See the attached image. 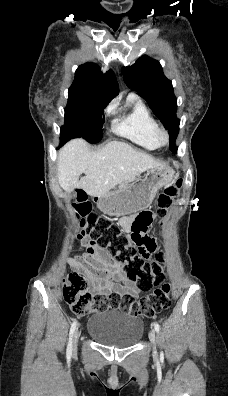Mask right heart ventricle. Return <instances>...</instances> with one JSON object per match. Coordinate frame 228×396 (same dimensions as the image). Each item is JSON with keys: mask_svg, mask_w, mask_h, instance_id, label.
<instances>
[{"mask_svg": "<svg viewBox=\"0 0 228 396\" xmlns=\"http://www.w3.org/2000/svg\"><path fill=\"white\" fill-rule=\"evenodd\" d=\"M128 112L114 124L113 130L120 136L148 150L158 146L154 140V131L158 123L147 106L134 95L127 98Z\"/></svg>", "mask_w": 228, "mask_h": 396, "instance_id": "e07e8e85", "label": "right heart ventricle"}]
</instances>
